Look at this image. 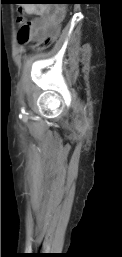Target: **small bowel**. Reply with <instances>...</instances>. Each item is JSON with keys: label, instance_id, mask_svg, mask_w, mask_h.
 <instances>
[{"label": "small bowel", "instance_id": "obj_1", "mask_svg": "<svg viewBox=\"0 0 122 257\" xmlns=\"http://www.w3.org/2000/svg\"><path fill=\"white\" fill-rule=\"evenodd\" d=\"M25 12L34 18L27 22L28 41L40 42L46 38L48 31L53 30L55 21H63L64 16H60V8H53L42 5H27Z\"/></svg>", "mask_w": 122, "mask_h": 257}]
</instances>
